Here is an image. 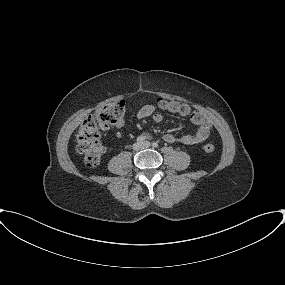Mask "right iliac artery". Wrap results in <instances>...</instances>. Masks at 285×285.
<instances>
[{"label":"right iliac artery","instance_id":"obj_1","mask_svg":"<svg viewBox=\"0 0 285 285\" xmlns=\"http://www.w3.org/2000/svg\"><path fill=\"white\" fill-rule=\"evenodd\" d=\"M145 140V138L143 136H139L137 138V142L142 143Z\"/></svg>","mask_w":285,"mask_h":285}]
</instances>
